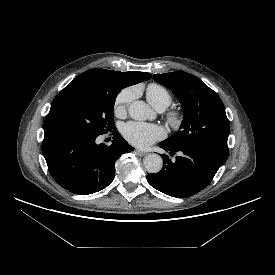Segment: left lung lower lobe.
<instances>
[{
	"label": "left lung lower lobe",
	"instance_id": "obj_1",
	"mask_svg": "<svg viewBox=\"0 0 275 275\" xmlns=\"http://www.w3.org/2000/svg\"><path fill=\"white\" fill-rule=\"evenodd\" d=\"M160 147L176 160L163 154V168L155 174H147L149 184L160 192L177 198L195 195L213 179L228 156L220 155L196 147H180L161 142Z\"/></svg>",
	"mask_w": 275,
	"mask_h": 275
}]
</instances>
